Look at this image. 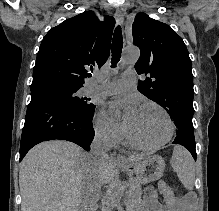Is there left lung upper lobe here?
Listing matches in <instances>:
<instances>
[{
  "instance_id": "left-lung-upper-lobe-1",
  "label": "left lung upper lobe",
  "mask_w": 219,
  "mask_h": 211,
  "mask_svg": "<svg viewBox=\"0 0 219 211\" xmlns=\"http://www.w3.org/2000/svg\"><path fill=\"white\" fill-rule=\"evenodd\" d=\"M134 44L140 48L135 64L138 90L162 106L173 118L176 134L194 132L193 74L189 52L183 39L167 24L138 13L132 25Z\"/></svg>"
}]
</instances>
